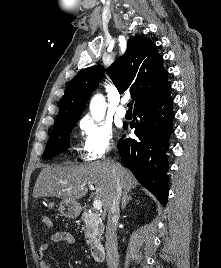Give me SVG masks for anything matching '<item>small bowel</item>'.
Segmentation results:
<instances>
[{"label": "small bowel", "mask_w": 221, "mask_h": 268, "mask_svg": "<svg viewBox=\"0 0 221 268\" xmlns=\"http://www.w3.org/2000/svg\"><path fill=\"white\" fill-rule=\"evenodd\" d=\"M62 242L73 245L75 244L76 241H75L74 236L71 233L65 232V231H58L51 235L49 243L42 244L37 249L36 256L39 260L40 268H51L50 262L47 259H45V254L50 249L52 244L62 243Z\"/></svg>", "instance_id": "obj_1"}]
</instances>
